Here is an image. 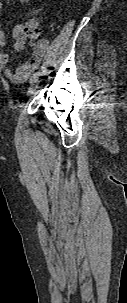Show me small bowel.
I'll return each instance as SVG.
<instances>
[{
  "label": "small bowel",
  "mask_w": 127,
  "mask_h": 303,
  "mask_svg": "<svg viewBox=\"0 0 127 303\" xmlns=\"http://www.w3.org/2000/svg\"><path fill=\"white\" fill-rule=\"evenodd\" d=\"M19 4H27L30 0H17ZM3 8L2 1L0 0V12ZM14 37L16 38V42L14 45L15 50L22 51L25 49V39L23 35V26L18 25L13 30ZM6 38L0 23V69L4 70V76L6 79L11 81L14 84H23L38 68L42 59L44 58L49 43L48 40L42 39L40 40L33 49V54L31 59L25 61L21 65H19L15 70L8 68L9 63V55L3 51L6 47Z\"/></svg>",
  "instance_id": "c3829d8e"
}]
</instances>
